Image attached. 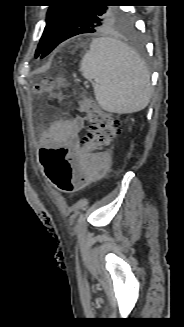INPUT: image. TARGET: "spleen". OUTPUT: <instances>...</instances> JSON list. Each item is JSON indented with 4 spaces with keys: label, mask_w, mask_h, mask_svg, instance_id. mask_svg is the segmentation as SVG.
Masks as SVG:
<instances>
[{
    "label": "spleen",
    "mask_w": 184,
    "mask_h": 327,
    "mask_svg": "<svg viewBox=\"0 0 184 327\" xmlns=\"http://www.w3.org/2000/svg\"><path fill=\"white\" fill-rule=\"evenodd\" d=\"M80 71L92 82L100 107L108 112H137L150 101L149 71L139 55L121 41L94 39L81 60Z\"/></svg>",
    "instance_id": "obj_1"
}]
</instances>
